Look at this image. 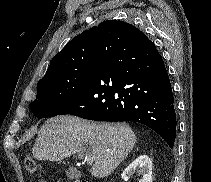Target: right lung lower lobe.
I'll return each mask as SVG.
<instances>
[{
  "label": "right lung lower lobe",
  "mask_w": 211,
  "mask_h": 182,
  "mask_svg": "<svg viewBox=\"0 0 211 182\" xmlns=\"http://www.w3.org/2000/svg\"><path fill=\"white\" fill-rule=\"evenodd\" d=\"M64 114L94 121L139 122L173 148L174 97L155 44L149 39L134 43L121 25L105 27L87 82L58 115Z\"/></svg>",
  "instance_id": "obj_1"
}]
</instances>
